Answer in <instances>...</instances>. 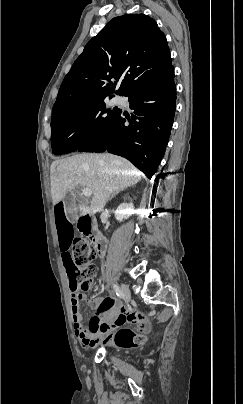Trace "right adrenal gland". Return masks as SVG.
Here are the masks:
<instances>
[{"label": "right adrenal gland", "instance_id": "1", "mask_svg": "<svg viewBox=\"0 0 243 404\" xmlns=\"http://www.w3.org/2000/svg\"><path fill=\"white\" fill-rule=\"evenodd\" d=\"M119 192H121V190H119ZM119 192H112L110 198H108V200H112V198H115V196H117V194H119Z\"/></svg>", "mask_w": 243, "mask_h": 404}]
</instances>
